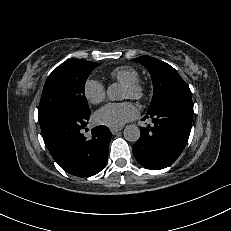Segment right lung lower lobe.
I'll return each mask as SVG.
<instances>
[{"label":"right lung lower lobe","mask_w":231,"mask_h":231,"mask_svg":"<svg viewBox=\"0 0 231 231\" xmlns=\"http://www.w3.org/2000/svg\"><path fill=\"white\" fill-rule=\"evenodd\" d=\"M90 113L61 115L40 126L54 160L74 176H93L100 172L107 162L112 137L109 129L103 125L97 126L92 129L89 139L82 134Z\"/></svg>","instance_id":"1"}]
</instances>
